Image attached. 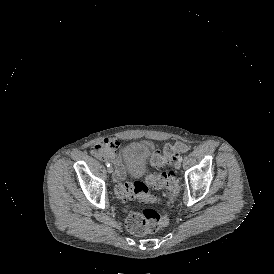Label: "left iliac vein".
<instances>
[{
	"mask_svg": "<svg viewBox=\"0 0 274 274\" xmlns=\"http://www.w3.org/2000/svg\"><path fill=\"white\" fill-rule=\"evenodd\" d=\"M174 167H175V169H180L181 168V162L180 161H176L174 163Z\"/></svg>",
	"mask_w": 274,
	"mask_h": 274,
	"instance_id": "4c4485c4",
	"label": "left iliac vein"
}]
</instances>
